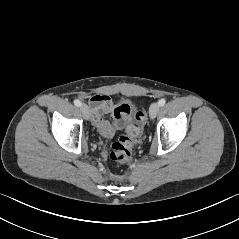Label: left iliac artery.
<instances>
[{
	"instance_id": "obj_1",
	"label": "left iliac artery",
	"mask_w": 239,
	"mask_h": 239,
	"mask_svg": "<svg viewBox=\"0 0 239 239\" xmlns=\"http://www.w3.org/2000/svg\"><path fill=\"white\" fill-rule=\"evenodd\" d=\"M165 103H166V100L164 98L160 99L158 102L159 106H164Z\"/></svg>"
}]
</instances>
